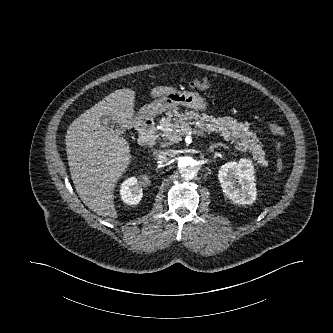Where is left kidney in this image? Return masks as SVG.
Masks as SVG:
<instances>
[{"label": "left kidney", "mask_w": 333, "mask_h": 333, "mask_svg": "<svg viewBox=\"0 0 333 333\" xmlns=\"http://www.w3.org/2000/svg\"><path fill=\"white\" fill-rule=\"evenodd\" d=\"M254 170L252 161L247 159L222 165L218 178L224 194L241 205L254 203L257 195Z\"/></svg>", "instance_id": "1"}]
</instances>
